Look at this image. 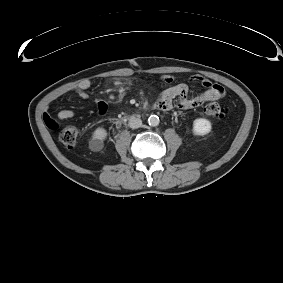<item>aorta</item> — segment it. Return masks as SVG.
<instances>
[{
    "label": "aorta",
    "mask_w": 283,
    "mask_h": 283,
    "mask_svg": "<svg viewBox=\"0 0 283 283\" xmlns=\"http://www.w3.org/2000/svg\"><path fill=\"white\" fill-rule=\"evenodd\" d=\"M148 123L150 126L152 127H156L159 125L160 123V120H159V117L157 115H151L149 118H148Z\"/></svg>",
    "instance_id": "762f6f07"
}]
</instances>
